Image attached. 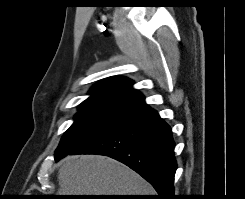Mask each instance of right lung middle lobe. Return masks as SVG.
<instances>
[{
	"instance_id": "right-lung-middle-lobe-1",
	"label": "right lung middle lobe",
	"mask_w": 245,
	"mask_h": 199,
	"mask_svg": "<svg viewBox=\"0 0 245 199\" xmlns=\"http://www.w3.org/2000/svg\"><path fill=\"white\" fill-rule=\"evenodd\" d=\"M127 116L94 108H79L75 122L64 133L55 158L64 157L98 139Z\"/></svg>"
}]
</instances>
